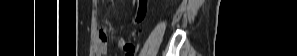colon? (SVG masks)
<instances>
[{
    "label": "colon",
    "mask_w": 297,
    "mask_h": 56,
    "mask_svg": "<svg viewBox=\"0 0 297 56\" xmlns=\"http://www.w3.org/2000/svg\"><path fill=\"white\" fill-rule=\"evenodd\" d=\"M147 10V0H139L138 2V14L137 19L141 20L144 18ZM101 37L105 38V35L102 33Z\"/></svg>",
    "instance_id": "1"
}]
</instances>
